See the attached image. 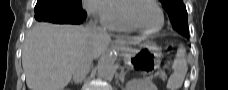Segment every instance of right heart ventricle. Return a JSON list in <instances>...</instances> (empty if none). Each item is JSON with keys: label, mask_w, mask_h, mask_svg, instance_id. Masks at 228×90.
<instances>
[{"label": "right heart ventricle", "mask_w": 228, "mask_h": 90, "mask_svg": "<svg viewBox=\"0 0 228 90\" xmlns=\"http://www.w3.org/2000/svg\"><path fill=\"white\" fill-rule=\"evenodd\" d=\"M126 1L127 0L110 1L111 17L106 24L107 28L110 30L119 32H130L134 30L124 23L120 15L121 7Z\"/></svg>", "instance_id": "right-heart-ventricle-1"}]
</instances>
